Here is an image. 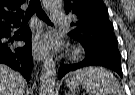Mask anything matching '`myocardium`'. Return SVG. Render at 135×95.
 <instances>
[{"label":"myocardium","instance_id":"obj_1","mask_svg":"<svg viewBox=\"0 0 135 95\" xmlns=\"http://www.w3.org/2000/svg\"><path fill=\"white\" fill-rule=\"evenodd\" d=\"M82 53V49L81 48H75L73 50V56H79Z\"/></svg>","mask_w":135,"mask_h":95}]
</instances>
